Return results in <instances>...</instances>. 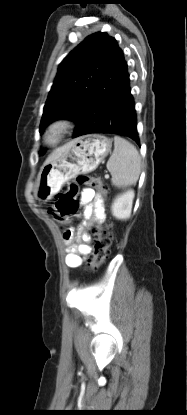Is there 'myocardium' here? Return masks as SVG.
I'll return each instance as SVG.
<instances>
[{"mask_svg": "<svg viewBox=\"0 0 187 415\" xmlns=\"http://www.w3.org/2000/svg\"><path fill=\"white\" fill-rule=\"evenodd\" d=\"M72 127V122L66 118H59L52 121L43 133V142L47 146L60 144Z\"/></svg>", "mask_w": 187, "mask_h": 415, "instance_id": "obj_1", "label": "myocardium"}]
</instances>
